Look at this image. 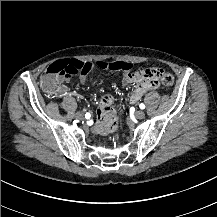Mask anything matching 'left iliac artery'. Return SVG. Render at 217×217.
Wrapping results in <instances>:
<instances>
[{
  "label": "left iliac artery",
  "instance_id": "44dca946",
  "mask_svg": "<svg viewBox=\"0 0 217 217\" xmlns=\"http://www.w3.org/2000/svg\"><path fill=\"white\" fill-rule=\"evenodd\" d=\"M139 107H140L141 109H144V108H145V105H144L143 103H141V104L139 105Z\"/></svg>",
  "mask_w": 217,
  "mask_h": 217
}]
</instances>
